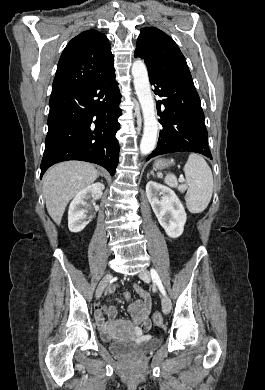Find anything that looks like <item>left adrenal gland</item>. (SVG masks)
Segmentation results:
<instances>
[{"label":"left adrenal gland","instance_id":"1","mask_svg":"<svg viewBox=\"0 0 265 390\" xmlns=\"http://www.w3.org/2000/svg\"><path fill=\"white\" fill-rule=\"evenodd\" d=\"M150 175L154 176V172H153V171H150V172L147 174V178H149Z\"/></svg>","mask_w":265,"mask_h":390}]
</instances>
